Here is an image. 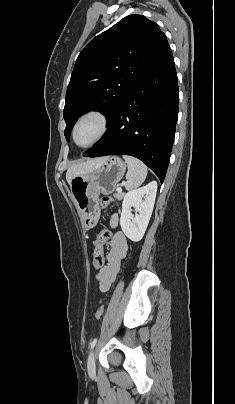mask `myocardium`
Returning <instances> with one entry per match:
<instances>
[{
    "mask_svg": "<svg viewBox=\"0 0 235 404\" xmlns=\"http://www.w3.org/2000/svg\"><path fill=\"white\" fill-rule=\"evenodd\" d=\"M88 119H94L98 123V132L95 137L85 144H80L77 141V131L80 125ZM109 119L106 113L101 110H89L81 114L76 120L72 128V141L73 143L82 149L89 148L100 141L108 131Z\"/></svg>",
    "mask_w": 235,
    "mask_h": 404,
    "instance_id": "1",
    "label": "myocardium"
}]
</instances>
